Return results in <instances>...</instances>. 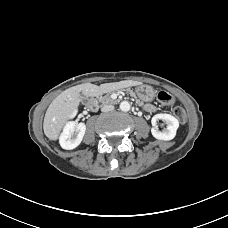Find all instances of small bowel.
Segmentation results:
<instances>
[{
	"instance_id": "obj_1",
	"label": "small bowel",
	"mask_w": 228,
	"mask_h": 228,
	"mask_svg": "<svg viewBox=\"0 0 228 228\" xmlns=\"http://www.w3.org/2000/svg\"><path fill=\"white\" fill-rule=\"evenodd\" d=\"M145 109L149 112H153V111H155V106L152 104H146Z\"/></svg>"
}]
</instances>
